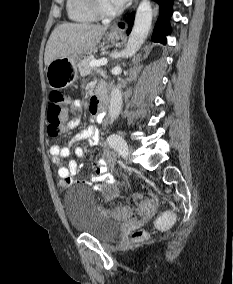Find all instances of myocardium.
<instances>
[{"label": "myocardium", "instance_id": "myocardium-1", "mask_svg": "<svg viewBox=\"0 0 233 284\" xmlns=\"http://www.w3.org/2000/svg\"><path fill=\"white\" fill-rule=\"evenodd\" d=\"M91 6H92V9L95 12V14L99 18H103V19L114 18L117 15H119L120 12H121V8L120 7H117L114 10L106 9L105 6L103 5V1L102 0H91Z\"/></svg>", "mask_w": 233, "mask_h": 284}]
</instances>
